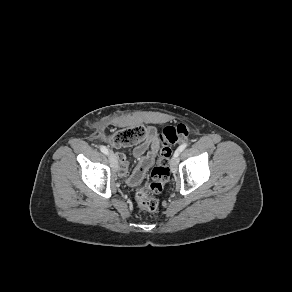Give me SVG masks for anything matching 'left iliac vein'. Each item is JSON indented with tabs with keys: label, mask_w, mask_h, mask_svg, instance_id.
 Here are the masks:
<instances>
[{
	"label": "left iliac vein",
	"mask_w": 292,
	"mask_h": 292,
	"mask_svg": "<svg viewBox=\"0 0 292 292\" xmlns=\"http://www.w3.org/2000/svg\"><path fill=\"white\" fill-rule=\"evenodd\" d=\"M170 167H171V171L173 173L177 172L178 169V157H172L171 162H170Z\"/></svg>",
	"instance_id": "1"
}]
</instances>
